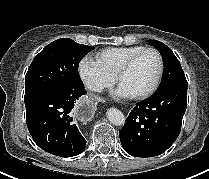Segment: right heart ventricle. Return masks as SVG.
I'll use <instances>...</instances> for the list:
<instances>
[{
	"label": "right heart ventricle",
	"instance_id": "right-heart-ventricle-1",
	"mask_svg": "<svg viewBox=\"0 0 209 179\" xmlns=\"http://www.w3.org/2000/svg\"><path fill=\"white\" fill-rule=\"evenodd\" d=\"M145 48L141 45L109 47L95 55L96 62L111 77L114 78L118 69L133 54Z\"/></svg>",
	"mask_w": 209,
	"mask_h": 179
}]
</instances>
